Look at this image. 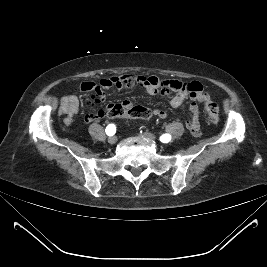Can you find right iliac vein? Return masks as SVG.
<instances>
[{"instance_id": "1", "label": "right iliac vein", "mask_w": 267, "mask_h": 267, "mask_svg": "<svg viewBox=\"0 0 267 267\" xmlns=\"http://www.w3.org/2000/svg\"><path fill=\"white\" fill-rule=\"evenodd\" d=\"M116 142H117V137H116V136H111V137L108 138V143H109L110 145H113V144H115Z\"/></svg>"}]
</instances>
